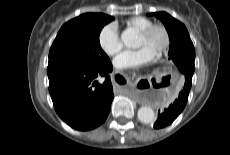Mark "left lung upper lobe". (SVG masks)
<instances>
[{
    "label": "left lung upper lobe",
    "instance_id": "obj_1",
    "mask_svg": "<svg viewBox=\"0 0 230 155\" xmlns=\"http://www.w3.org/2000/svg\"><path fill=\"white\" fill-rule=\"evenodd\" d=\"M165 25L170 38L169 59H172L184 77L194 73L195 49L183 23L165 12L152 13Z\"/></svg>",
    "mask_w": 230,
    "mask_h": 155
}]
</instances>
